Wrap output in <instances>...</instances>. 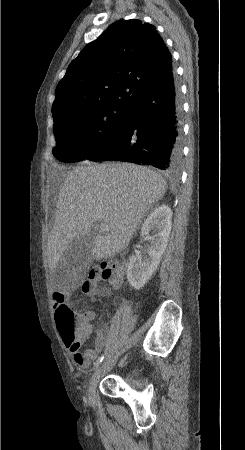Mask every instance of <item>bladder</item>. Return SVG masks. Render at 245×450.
Here are the masks:
<instances>
[{
    "label": "bladder",
    "mask_w": 245,
    "mask_h": 450,
    "mask_svg": "<svg viewBox=\"0 0 245 450\" xmlns=\"http://www.w3.org/2000/svg\"><path fill=\"white\" fill-rule=\"evenodd\" d=\"M140 366L135 364H130L125 368L124 376L129 381H135L139 376Z\"/></svg>",
    "instance_id": "bladder-1"
}]
</instances>
